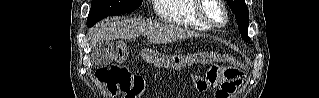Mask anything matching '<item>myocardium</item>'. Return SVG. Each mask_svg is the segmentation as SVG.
Returning a JSON list of instances; mask_svg holds the SVG:
<instances>
[{
  "mask_svg": "<svg viewBox=\"0 0 319 98\" xmlns=\"http://www.w3.org/2000/svg\"><path fill=\"white\" fill-rule=\"evenodd\" d=\"M211 2L217 5L223 12V20L221 23L213 22L206 13L207 5ZM197 14L200 20L209 28H221L226 24L228 19L227 9L221 0H198Z\"/></svg>",
  "mask_w": 319,
  "mask_h": 98,
  "instance_id": "1",
  "label": "myocardium"
}]
</instances>
